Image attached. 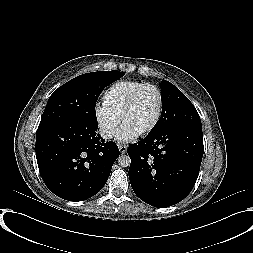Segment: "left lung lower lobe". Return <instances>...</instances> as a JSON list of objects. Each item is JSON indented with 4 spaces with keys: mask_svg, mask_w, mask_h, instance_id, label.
I'll list each match as a JSON object with an SVG mask.
<instances>
[{
    "mask_svg": "<svg viewBox=\"0 0 253 253\" xmlns=\"http://www.w3.org/2000/svg\"><path fill=\"white\" fill-rule=\"evenodd\" d=\"M203 150L202 128L191 126L149 133L131 144L129 179L135 194L155 207L180 202L195 185Z\"/></svg>",
    "mask_w": 253,
    "mask_h": 253,
    "instance_id": "obj_1",
    "label": "left lung lower lobe"
}]
</instances>
